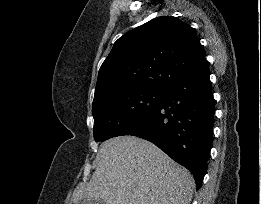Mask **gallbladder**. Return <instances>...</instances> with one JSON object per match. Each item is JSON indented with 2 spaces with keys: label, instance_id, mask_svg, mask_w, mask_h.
Segmentation results:
<instances>
[{
  "label": "gallbladder",
  "instance_id": "gallbladder-1",
  "mask_svg": "<svg viewBox=\"0 0 261 204\" xmlns=\"http://www.w3.org/2000/svg\"><path fill=\"white\" fill-rule=\"evenodd\" d=\"M81 204H106V202L101 199L86 198L81 202Z\"/></svg>",
  "mask_w": 261,
  "mask_h": 204
}]
</instances>
